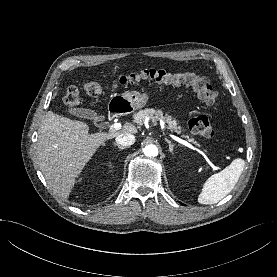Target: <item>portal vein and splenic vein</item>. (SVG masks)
<instances>
[{"instance_id":"18ae733b","label":"portal vein and splenic vein","mask_w":277,"mask_h":277,"mask_svg":"<svg viewBox=\"0 0 277 277\" xmlns=\"http://www.w3.org/2000/svg\"><path fill=\"white\" fill-rule=\"evenodd\" d=\"M121 124L120 123H114V124H112L110 127H109V130L110 131H116V130H119V129H121ZM170 137L172 138V139H174V140H176L177 142H179V143H181V144H183V145H185V146H187V147H189V148H191V149H196L194 146H192L190 143H188L187 141H185V140H183V139H181V138H179V137H177V136H175V135H172V134H170ZM201 154L205 157V158H207V156L209 155V154H205L204 152H202L201 151ZM212 166V165H211ZM216 169L218 170V168L216 167Z\"/></svg>"}]
</instances>
